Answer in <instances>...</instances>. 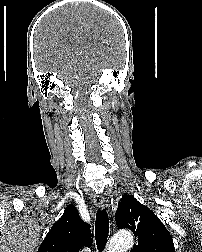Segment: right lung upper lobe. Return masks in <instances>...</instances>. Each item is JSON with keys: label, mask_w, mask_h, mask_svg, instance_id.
<instances>
[{"label": "right lung upper lobe", "mask_w": 202, "mask_h": 252, "mask_svg": "<svg viewBox=\"0 0 202 252\" xmlns=\"http://www.w3.org/2000/svg\"><path fill=\"white\" fill-rule=\"evenodd\" d=\"M90 245V224L81 220L73 205H68L46 235L38 252H79Z\"/></svg>", "instance_id": "1"}]
</instances>
